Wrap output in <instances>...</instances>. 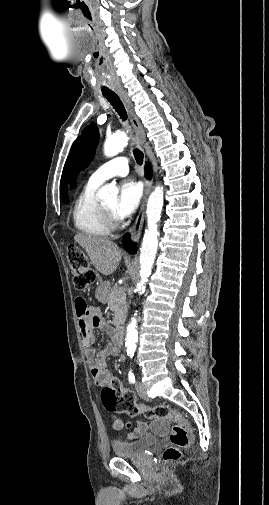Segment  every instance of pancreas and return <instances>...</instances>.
Returning a JSON list of instances; mask_svg holds the SVG:
<instances>
[{
	"instance_id": "obj_1",
	"label": "pancreas",
	"mask_w": 269,
	"mask_h": 505,
	"mask_svg": "<svg viewBox=\"0 0 269 505\" xmlns=\"http://www.w3.org/2000/svg\"><path fill=\"white\" fill-rule=\"evenodd\" d=\"M108 307L114 312V325L123 324L126 318L127 306L125 292L120 287L110 290L108 296Z\"/></svg>"
}]
</instances>
